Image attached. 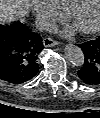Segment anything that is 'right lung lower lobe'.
Wrapping results in <instances>:
<instances>
[{
  "label": "right lung lower lobe",
  "mask_w": 100,
  "mask_h": 118,
  "mask_svg": "<svg viewBox=\"0 0 100 118\" xmlns=\"http://www.w3.org/2000/svg\"><path fill=\"white\" fill-rule=\"evenodd\" d=\"M43 48L41 36L25 24L0 25V79L14 84L32 79Z\"/></svg>",
  "instance_id": "right-lung-lower-lobe-1"
}]
</instances>
